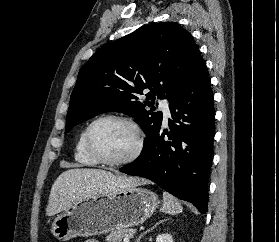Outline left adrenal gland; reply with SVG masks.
Returning <instances> with one entry per match:
<instances>
[{"instance_id":"a2214340","label":"left adrenal gland","mask_w":279,"mask_h":242,"mask_svg":"<svg viewBox=\"0 0 279 242\" xmlns=\"http://www.w3.org/2000/svg\"><path fill=\"white\" fill-rule=\"evenodd\" d=\"M165 220H162V221H159L158 223H156L152 228H150V229H147L145 232H143V233H141L140 234V236L136 239V241L135 242H139L140 241V239L143 237V235H145L147 232H149V231H151V230H153L154 228H156L157 227V225H159L160 223H162V222H164Z\"/></svg>"}]
</instances>
